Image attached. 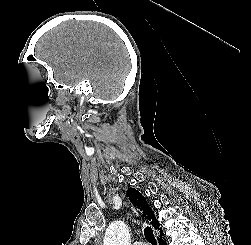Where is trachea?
Returning a JSON list of instances; mask_svg holds the SVG:
<instances>
[{
	"label": "trachea",
	"mask_w": 251,
	"mask_h": 245,
	"mask_svg": "<svg viewBox=\"0 0 251 245\" xmlns=\"http://www.w3.org/2000/svg\"><path fill=\"white\" fill-rule=\"evenodd\" d=\"M144 235H145V239L151 243V245H157V241L155 239V236L153 234V230L150 227H146L144 229Z\"/></svg>",
	"instance_id": "1"
}]
</instances>
